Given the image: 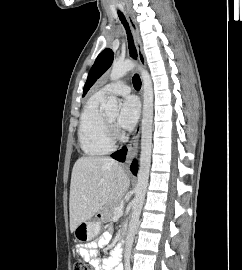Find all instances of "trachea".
I'll list each match as a JSON object with an SVG mask.
<instances>
[{
	"label": "trachea",
	"instance_id": "obj_1",
	"mask_svg": "<svg viewBox=\"0 0 242 270\" xmlns=\"http://www.w3.org/2000/svg\"><path fill=\"white\" fill-rule=\"evenodd\" d=\"M118 14H119V17H120L122 24L124 25V27L126 29L130 56L132 58L136 59L137 58V51H136V48H135V45L133 42V37H132V34L130 32L129 25L125 19V16L121 12H118ZM133 85H134V88L137 90H139L141 88V80H140V77L138 74L133 76Z\"/></svg>",
	"mask_w": 242,
	"mask_h": 270
}]
</instances>
